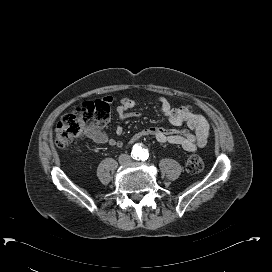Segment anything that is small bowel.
<instances>
[{
    "instance_id": "1",
    "label": "small bowel",
    "mask_w": 272,
    "mask_h": 272,
    "mask_svg": "<svg viewBox=\"0 0 272 272\" xmlns=\"http://www.w3.org/2000/svg\"><path fill=\"white\" fill-rule=\"evenodd\" d=\"M109 102L118 101L116 112L120 120L129 117H140L141 113L131 111L137 103L129 98H119L107 96ZM161 113L166 117L168 122L173 126L186 125L188 129H168L162 126H155L143 129L135 134L131 142H136L143 136H152L158 142L163 144H172L181 146L187 152H194L199 147H203L208 139L210 126L206 118L199 113H195L189 105L176 107L167 100L164 96H159ZM190 131H194L191 133ZM123 129L121 126L116 128V134L121 136ZM88 137L94 142L102 145L120 148L123 146V141L118 138L108 136L100 130H91L88 132Z\"/></svg>"
}]
</instances>
